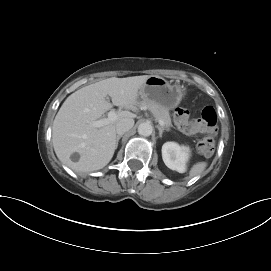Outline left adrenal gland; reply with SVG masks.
I'll list each match as a JSON object with an SVG mask.
<instances>
[{
    "instance_id": "left-adrenal-gland-1",
    "label": "left adrenal gland",
    "mask_w": 271,
    "mask_h": 271,
    "mask_svg": "<svg viewBox=\"0 0 271 271\" xmlns=\"http://www.w3.org/2000/svg\"><path fill=\"white\" fill-rule=\"evenodd\" d=\"M158 130H159V137L162 138V134L164 132V128L160 127V126H157Z\"/></svg>"
}]
</instances>
